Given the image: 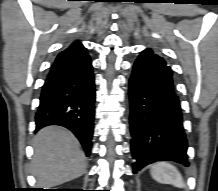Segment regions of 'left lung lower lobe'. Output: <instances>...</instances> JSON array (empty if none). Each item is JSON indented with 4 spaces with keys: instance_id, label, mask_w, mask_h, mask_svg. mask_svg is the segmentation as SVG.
Returning a JSON list of instances; mask_svg holds the SVG:
<instances>
[{
    "instance_id": "obj_1",
    "label": "left lung lower lobe",
    "mask_w": 218,
    "mask_h": 191,
    "mask_svg": "<svg viewBox=\"0 0 218 191\" xmlns=\"http://www.w3.org/2000/svg\"><path fill=\"white\" fill-rule=\"evenodd\" d=\"M172 70L143 51L129 80L133 173L146 165L172 160L189 166L187 139Z\"/></svg>"
}]
</instances>
